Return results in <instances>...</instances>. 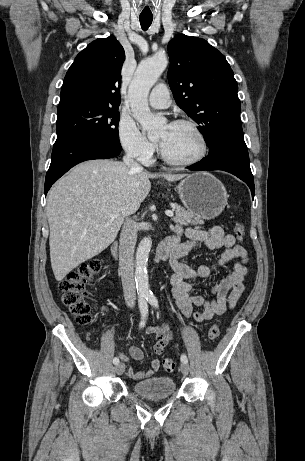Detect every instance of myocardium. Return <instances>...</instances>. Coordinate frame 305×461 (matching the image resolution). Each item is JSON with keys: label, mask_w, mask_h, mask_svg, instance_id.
<instances>
[{"label": "myocardium", "mask_w": 305, "mask_h": 461, "mask_svg": "<svg viewBox=\"0 0 305 461\" xmlns=\"http://www.w3.org/2000/svg\"><path fill=\"white\" fill-rule=\"evenodd\" d=\"M171 125H184V126L190 127L194 131V133L196 134V136L199 139L200 151L192 159L176 160V159H173L170 156H168L167 153L165 152L162 144H160V155H161L162 159L169 165L179 166V167H189V166H193V165H196L199 162H201L207 155L208 142H207L205 134L203 133V131L201 130L199 125L196 122H194L192 120H189V119H177V120L173 121L171 123Z\"/></svg>", "instance_id": "myocardium-1"}]
</instances>
